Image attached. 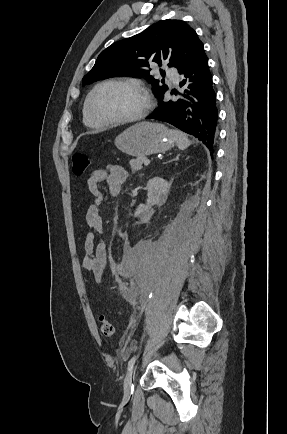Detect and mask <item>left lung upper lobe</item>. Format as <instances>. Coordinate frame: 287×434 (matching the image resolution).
Segmentation results:
<instances>
[{
	"mask_svg": "<svg viewBox=\"0 0 287 434\" xmlns=\"http://www.w3.org/2000/svg\"><path fill=\"white\" fill-rule=\"evenodd\" d=\"M204 53L203 43L196 32L181 20H162L142 33L118 41L98 56L94 67L83 77V85L116 76L143 77L155 62L159 66L181 69ZM158 100L168 90L159 80L148 77Z\"/></svg>",
	"mask_w": 287,
	"mask_h": 434,
	"instance_id": "left-lung-upper-lobe-1",
	"label": "left lung upper lobe"
}]
</instances>
